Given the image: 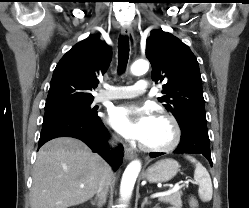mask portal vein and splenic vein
<instances>
[{
    "instance_id": "18ae733b",
    "label": "portal vein and splenic vein",
    "mask_w": 249,
    "mask_h": 208,
    "mask_svg": "<svg viewBox=\"0 0 249 208\" xmlns=\"http://www.w3.org/2000/svg\"><path fill=\"white\" fill-rule=\"evenodd\" d=\"M80 187L83 188L84 186L81 185ZM180 188H181V186L177 183V184H175V185L173 186L172 189H170V190H168V191H163V192L155 193V194H153L151 197H152V198H157V197H162V196H165V195H169V194H171V193H174V192L178 191Z\"/></svg>"
}]
</instances>
